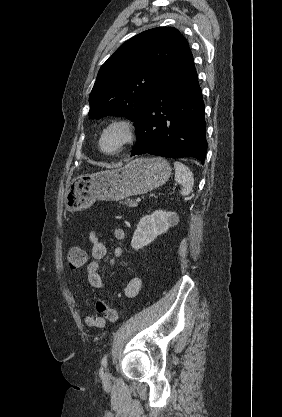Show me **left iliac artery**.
<instances>
[{
	"mask_svg": "<svg viewBox=\"0 0 282 417\" xmlns=\"http://www.w3.org/2000/svg\"><path fill=\"white\" fill-rule=\"evenodd\" d=\"M107 358H108V355H107V354H105V355H104V357L102 358V364H103L104 366H106V365H107Z\"/></svg>",
	"mask_w": 282,
	"mask_h": 417,
	"instance_id": "44dca946",
	"label": "left iliac artery"
}]
</instances>
